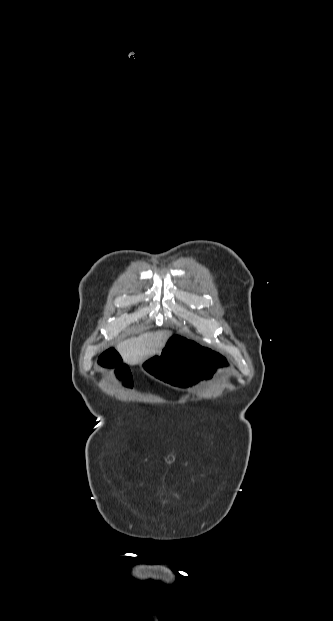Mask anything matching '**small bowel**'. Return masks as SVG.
Wrapping results in <instances>:
<instances>
[{"instance_id":"1","label":"small bowel","mask_w":333,"mask_h":621,"mask_svg":"<svg viewBox=\"0 0 333 621\" xmlns=\"http://www.w3.org/2000/svg\"><path fill=\"white\" fill-rule=\"evenodd\" d=\"M98 364L103 368L112 370L125 386L131 385L132 377L129 367L123 362L121 355L116 349L110 348L101 353L98 357Z\"/></svg>"}]
</instances>
